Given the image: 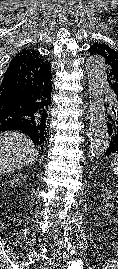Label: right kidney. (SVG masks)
Instances as JSON below:
<instances>
[{
    "mask_svg": "<svg viewBox=\"0 0 118 269\" xmlns=\"http://www.w3.org/2000/svg\"><path fill=\"white\" fill-rule=\"evenodd\" d=\"M22 180H24V177H22V175L19 174V175L13 176V178L10 181H8L7 183L11 184L13 186L14 184L15 185L20 184Z\"/></svg>",
    "mask_w": 118,
    "mask_h": 269,
    "instance_id": "ca27d5eb",
    "label": "right kidney"
}]
</instances>
